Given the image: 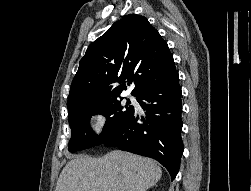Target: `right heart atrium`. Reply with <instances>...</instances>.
I'll return each instance as SVG.
<instances>
[{
    "label": "right heart atrium",
    "instance_id": "obj_1",
    "mask_svg": "<svg viewBox=\"0 0 251 191\" xmlns=\"http://www.w3.org/2000/svg\"><path fill=\"white\" fill-rule=\"evenodd\" d=\"M88 127L91 134L97 138H103L109 129V116L100 109H92L87 114Z\"/></svg>",
    "mask_w": 251,
    "mask_h": 191
}]
</instances>
